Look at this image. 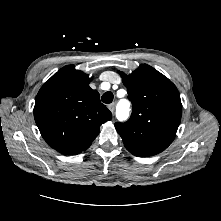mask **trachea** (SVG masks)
I'll list each match as a JSON object with an SVG mask.
<instances>
[{
    "label": "trachea",
    "instance_id": "1",
    "mask_svg": "<svg viewBox=\"0 0 221 221\" xmlns=\"http://www.w3.org/2000/svg\"><path fill=\"white\" fill-rule=\"evenodd\" d=\"M103 103L109 104L113 101V93L110 91L105 92L101 98Z\"/></svg>",
    "mask_w": 221,
    "mask_h": 221
}]
</instances>
